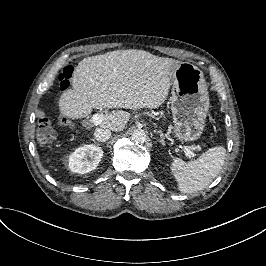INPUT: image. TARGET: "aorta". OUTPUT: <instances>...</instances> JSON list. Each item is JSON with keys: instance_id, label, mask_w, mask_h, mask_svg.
<instances>
[{"instance_id": "aorta-1", "label": "aorta", "mask_w": 266, "mask_h": 266, "mask_svg": "<svg viewBox=\"0 0 266 266\" xmlns=\"http://www.w3.org/2000/svg\"><path fill=\"white\" fill-rule=\"evenodd\" d=\"M147 134L144 130L136 129L131 132V140L135 144H142L145 142Z\"/></svg>"}]
</instances>
